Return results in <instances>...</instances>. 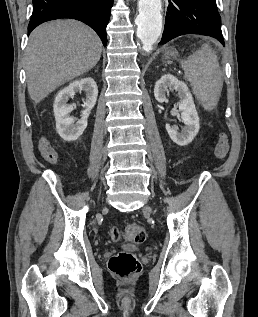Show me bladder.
I'll return each mask as SVG.
<instances>
[{"label": "bladder", "mask_w": 258, "mask_h": 317, "mask_svg": "<svg viewBox=\"0 0 258 317\" xmlns=\"http://www.w3.org/2000/svg\"><path fill=\"white\" fill-rule=\"evenodd\" d=\"M137 248L134 245H126L124 247V251L123 252H127V253H132L136 250Z\"/></svg>", "instance_id": "1"}]
</instances>
